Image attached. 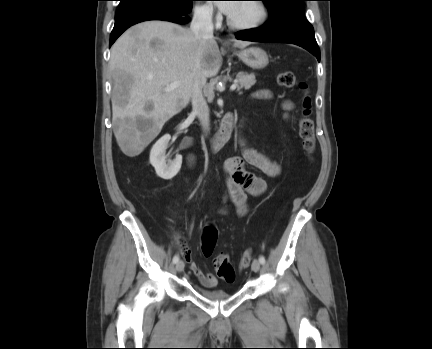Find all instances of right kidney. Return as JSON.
<instances>
[{
	"label": "right kidney",
	"instance_id": "right-kidney-1",
	"mask_svg": "<svg viewBox=\"0 0 432 349\" xmlns=\"http://www.w3.org/2000/svg\"><path fill=\"white\" fill-rule=\"evenodd\" d=\"M171 139L169 134L162 136L152 147L150 163L156 174L165 180H170L179 172L182 165V156L177 155L173 161H166V149Z\"/></svg>",
	"mask_w": 432,
	"mask_h": 349
}]
</instances>
